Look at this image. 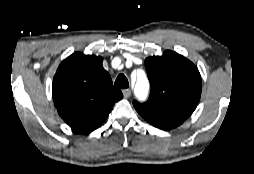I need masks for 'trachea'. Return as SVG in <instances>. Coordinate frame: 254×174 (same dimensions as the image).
I'll return each instance as SVG.
<instances>
[{
	"mask_svg": "<svg viewBox=\"0 0 254 174\" xmlns=\"http://www.w3.org/2000/svg\"><path fill=\"white\" fill-rule=\"evenodd\" d=\"M115 86L121 89H126L129 87V82L125 75L119 74L115 80Z\"/></svg>",
	"mask_w": 254,
	"mask_h": 174,
	"instance_id": "trachea-1",
	"label": "trachea"
}]
</instances>
